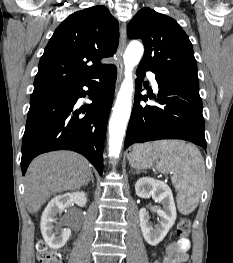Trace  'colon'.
I'll use <instances>...</instances> for the list:
<instances>
[{
    "label": "colon",
    "instance_id": "colon-1",
    "mask_svg": "<svg viewBox=\"0 0 233 263\" xmlns=\"http://www.w3.org/2000/svg\"><path fill=\"white\" fill-rule=\"evenodd\" d=\"M191 223L186 217L179 220L177 224V235L179 238H187L190 234ZM36 257L38 263H63L61 254L58 250L52 249L40 240L36 246Z\"/></svg>",
    "mask_w": 233,
    "mask_h": 263
}]
</instances>
